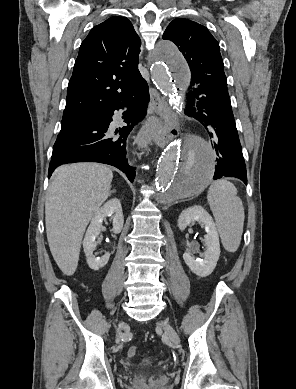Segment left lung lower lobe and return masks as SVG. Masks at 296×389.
I'll return each instance as SVG.
<instances>
[{"label": "left lung lower lobe", "mask_w": 296, "mask_h": 389, "mask_svg": "<svg viewBox=\"0 0 296 389\" xmlns=\"http://www.w3.org/2000/svg\"><path fill=\"white\" fill-rule=\"evenodd\" d=\"M191 92L186 94V115L198 120L210 132L217 165L213 179L236 177L247 185L246 166L242 154L227 79L206 78L190 82ZM194 106L192 109H190Z\"/></svg>", "instance_id": "left-lung-lower-lobe-1"}]
</instances>
